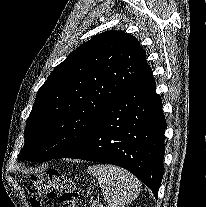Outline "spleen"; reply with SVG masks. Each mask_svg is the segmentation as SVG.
<instances>
[{"label":"spleen","mask_w":206,"mask_h":207,"mask_svg":"<svg viewBox=\"0 0 206 207\" xmlns=\"http://www.w3.org/2000/svg\"><path fill=\"white\" fill-rule=\"evenodd\" d=\"M87 171L98 179L109 207H124L133 202L140 192L139 181L117 166L94 165L88 167Z\"/></svg>","instance_id":"3e777b00"}]
</instances>
